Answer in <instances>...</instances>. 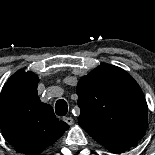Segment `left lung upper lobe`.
Instances as JSON below:
<instances>
[{
    "label": "left lung upper lobe",
    "mask_w": 155,
    "mask_h": 155,
    "mask_svg": "<svg viewBox=\"0 0 155 155\" xmlns=\"http://www.w3.org/2000/svg\"><path fill=\"white\" fill-rule=\"evenodd\" d=\"M79 125L108 150L136 145L148 123V106L137 82L125 70L103 64L77 86Z\"/></svg>",
    "instance_id": "left-lung-upper-lobe-1"
}]
</instances>
